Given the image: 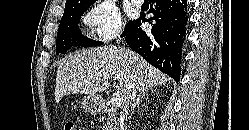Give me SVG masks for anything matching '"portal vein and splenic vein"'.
<instances>
[{
    "mask_svg": "<svg viewBox=\"0 0 249 130\" xmlns=\"http://www.w3.org/2000/svg\"><path fill=\"white\" fill-rule=\"evenodd\" d=\"M112 106L118 107L122 104V97L119 92L113 94L111 99Z\"/></svg>",
    "mask_w": 249,
    "mask_h": 130,
    "instance_id": "obj_1",
    "label": "portal vein and splenic vein"
}]
</instances>
